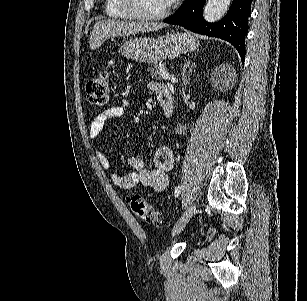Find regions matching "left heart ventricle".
<instances>
[{"mask_svg": "<svg viewBox=\"0 0 307 301\" xmlns=\"http://www.w3.org/2000/svg\"><path fill=\"white\" fill-rule=\"evenodd\" d=\"M142 5L139 6L141 11L139 13H154L155 11H160L161 7L164 5L165 0H139ZM132 13H135L132 9Z\"/></svg>", "mask_w": 307, "mask_h": 301, "instance_id": "b2bd125f", "label": "left heart ventricle"}]
</instances>
